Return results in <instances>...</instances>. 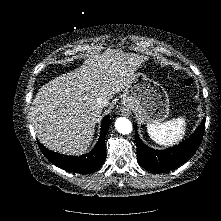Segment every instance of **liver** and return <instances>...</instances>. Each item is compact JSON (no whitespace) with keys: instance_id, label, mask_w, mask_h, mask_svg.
<instances>
[{"instance_id":"6515ba94","label":"liver","mask_w":221,"mask_h":221,"mask_svg":"<svg viewBox=\"0 0 221 221\" xmlns=\"http://www.w3.org/2000/svg\"><path fill=\"white\" fill-rule=\"evenodd\" d=\"M145 59L134 53L106 50L43 85L30 107L32 126L39 140L55 152L84 153L91 145L105 107L97 104V98L106 99L109 104L115 94L132 83Z\"/></svg>"}]
</instances>
